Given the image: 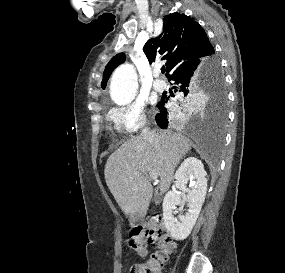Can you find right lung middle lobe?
<instances>
[{"mask_svg": "<svg viewBox=\"0 0 285 273\" xmlns=\"http://www.w3.org/2000/svg\"><path fill=\"white\" fill-rule=\"evenodd\" d=\"M204 94L220 97L222 102L220 118L222 121H224L226 118V93L224 87V77L220 70V63L216 57L211 58V62L206 70L205 79L202 85L194 88L187 96L180 94L179 104L186 105L191 103L196 96ZM180 101L182 102L180 103Z\"/></svg>", "mask_w": 285, "mask_h": 273, "instance_id": "right-lung-middle-lobe-1", "label": "right lung middle lobe"}]
</instances>
